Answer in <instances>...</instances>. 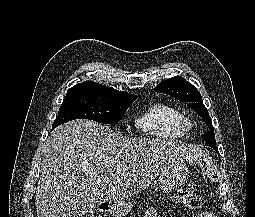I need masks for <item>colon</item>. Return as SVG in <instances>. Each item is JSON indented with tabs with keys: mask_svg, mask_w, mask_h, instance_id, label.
Masks as SVG:
<instances>
[{
	"mask_svg": "<svg viewBox=\"0 0 255 217\" xmlns=\"http://www.w3.org/2000/svg\"><path fill=\"white\" fill-rule=\"evenodd\" d=\"M174 201L175 203L191 210L199 209L202 204L200 197L190 186L181 187L174 194Z\"/></svg>",
	"mask_w": 255,
	"mask_h": 217,
	"instance_id": "obj_1",
	"label": "colon"
}]
</instances>
